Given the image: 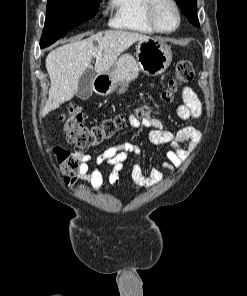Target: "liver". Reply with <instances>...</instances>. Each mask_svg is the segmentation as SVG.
Here are the masks:
<instances>
[{
    "mask_svg": "<svg viewBox=\"0 0 247 296\" xmlns=\"http://www.w3.org/2000/svg\"><path fill=\"white\" fill-rule=\"evenodd\" d=\"M148 39L149 36L140 33L108 30L84 40L80 37L51 51L46 57V69L51 85L42 116L74 97L79 79L90 67L93 57L96 58L94 70L101 74L108 71L120 54L135 42ZM95 41L98 42L97 46L94 45Z\"/></svg>",
    "mask_w": 247,
    "mask_h": 296,
    "instance_id": "liver-1",
    "label": "liver"
}]
</instances>
